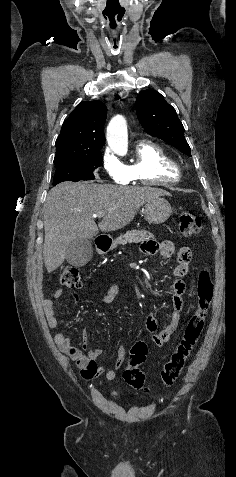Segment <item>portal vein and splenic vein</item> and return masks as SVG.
I'll return each mask as SVG.
<instances>
[{
  "label": "portal vein and splenic vein",
  "mask_w": 236,
  "mask_h": 477,
  "mask_svg": "<svg viewBox=\"0 0 236 477\" xmlns=\"http://www.w3.org/2000/svg\"><path fill=\"white\" fill-rule=\"evenodd\" d=\"M104 215H105L104 212H100V213H98V214H93V218H97V217H98V218H103Z\"/></svg>",
  "instance_id": "1"
}]
</instances>
